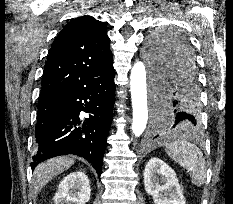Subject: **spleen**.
I'll return each mask as SVG.
<instances>
[{"mask_svg": "<svg viewBox=\"0 0 233 204\" xmlns=\"http://www.w3.org/2000/svg\"><path fill=\"white\" fill-rule=\"evenodd\" d=\"M168 156L181 167L191 172V182L197 187L206 183L207 169L202 151L193 143L182 139L166 145Z\"/></svg>", "mask_w": 233, "mask_h": 204, "instance_id": "obj_1", "label": "spleen"}]
</instances>
